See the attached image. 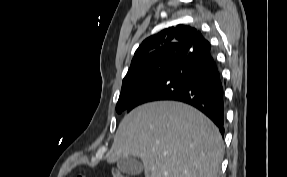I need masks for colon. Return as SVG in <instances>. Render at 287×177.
Here are the masks:
<instances>
[{
    "mask_svg": "<svg viewBox=\"0 0 287 177\" xmlns=\"http://www.w3.org/2000/svg\"><path fill=\"white\" fill-rule=\"evenodd\" d=\"M77 177H83L82 175H78ZM112 177H127L124 173H122L118 169H113L112 170Z\"/></svg>",
    "mask_w": 287,
    "mask_h": 177,
    "instance_id": "1",
    "label": "colon"
}]
</instances>
